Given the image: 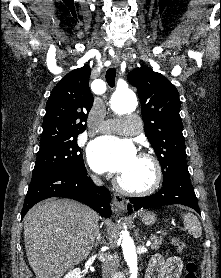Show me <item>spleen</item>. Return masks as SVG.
I'll return each instance as SVG.
<instances>
[{"label": "spleen", "mask_w": 221, "mask_h": 278, "mask_svg": "<svg viewBox=\"0 0 221 278\" xmlns=\"http://www.w3.org/2000/svg\"><path fill=\"white\" fill-rule=\"evenodd\" d=\"M183 223L190 235L197 239L202 235V228L198 218L192 213L182 214Z\"/></svg>", "instance_id": "spleen-1"}]
</instances>
